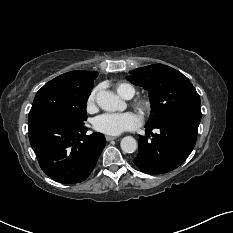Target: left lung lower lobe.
<instances>
[{
	"instance_id": "obj_1",
	"label": "left lung lower lobe",
	"mask_w": 233,
	"mask_h": 233,
	"mask_svg": "<svg viewBox=\"0 0 233 233\" xmlns=\"http://www.w3.org/2000/svg\"><path fill=\"white\" fill-rule=\"evenodd\" d=\"M201 117L172 116L146 125L133 162L146 174H162L180 166L193 150ZM152 129H158L153 134ZM151 135V138H150Z\"/></svg>"
}]
</instances>
